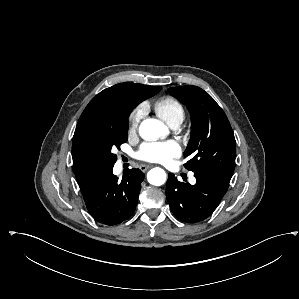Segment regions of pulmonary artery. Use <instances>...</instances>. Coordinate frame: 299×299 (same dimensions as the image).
I'll return each mask as SVG.
<instances>
[{
  "label": "pulmonary artery",
  "instance_id": "pulmonary-artery-1",
  "mask_svg": "<svg viewBox=\"0 0 299 299\" xmlns=\"http://www.w3.org/2000/svg\"><path fill=\"white\" fill-rule=\"evenodd\" d=\"M180 125V123H174V124H172V125H170L172 128H174V129H176L178 126ZM195 179H194V177L193 176H191L190 177V181H194Z\"/></svg>",
  "mask_w": 299,
  "mask_h": 299
}]
</instances>
